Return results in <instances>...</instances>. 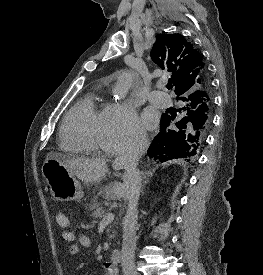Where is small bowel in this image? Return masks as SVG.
<instances>
[{
  "label": "small bowel",
  "mask_w": 263,
  "mask_h": 275,
  "mask_svg": "<svg viewBox=\"0 0 263 275\" xmlns=\"http://www.w3.org/2000/svg\"><path fill=\"white\" fill-rule=\"evenodd\" d=\"M67 234L69 235V238L66 239L64 234H62V240L66 243H71L68 250L71 256H76L79 253L81 247L86 248L91 244L90 238L87 235L82 234L78 237L77 242H73L74 235L69 231ZM115 273L116 271L106 270L105 275H115Z\"/></svg>",
  "instance_id": "small-bowel-1"
}]
</instances>
